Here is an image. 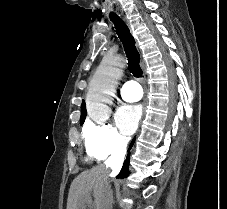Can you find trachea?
Instances as JSON below:
<instances>
[{"label": "trachea", "mask_w": 227, "mask_h": 209, "mask_svg": "<svg viewBox=\"0 0 227 209\" xmlns=\"http://www.w3.org/2000/svg\"><path fill=\"white\" fill-rule=\"evenodd\" d=\"M111 22L114 23L115 30L119 39L123 43L125 53L128 59V69L134 77H142V69L140 68V55L135 47V40L131 35L126 23L116 13L109 15Z\"/></svg>", "instance_id": "obj_1"}]
</instances>
